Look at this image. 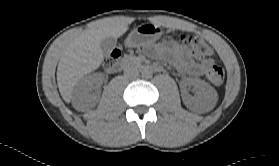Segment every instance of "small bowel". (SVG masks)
I'll list each match as a JSON object with an SVG mask.
<instances>
[{"mask_svg":"<svg viewBox=\"0 0 279 166\" xmlns=\"http://www.w3.org/2000/svg\"><path fill=\"white\" fill-rule=\"evenodd\" d=\"M155 54L169 60L180 73L193 76L201 75L205 67L213 63L212 59H204L199 63L194 62L187 48L175 41H167L158 45Z\"/></svg>","mask_w":279,"mask_h":166,"instance_id":"1","label":"small bowel"}]
</instances>
